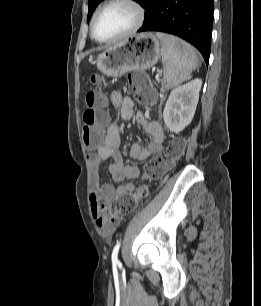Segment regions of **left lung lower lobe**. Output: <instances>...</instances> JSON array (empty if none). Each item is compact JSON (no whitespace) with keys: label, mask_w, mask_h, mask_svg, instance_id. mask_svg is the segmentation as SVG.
Wrapping results in <instances>:
<instances>
[{"label":"left lung lower lobe","mask_w":261,"mask_h":306,"mask_svg":"<svg viewBox=\"0 0 261 306\" xmlns=\"http://www.w3.org/2000/svg\"><path fill=\"white\" fill-rule=\"evenodd\" d=\"M213 0H149L138 32L159 31L194 45L209 62Z\"/></svg>","instance_id":"left-lung-lower-lobe-1"}]
</instances>
